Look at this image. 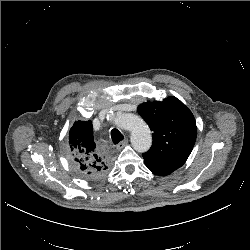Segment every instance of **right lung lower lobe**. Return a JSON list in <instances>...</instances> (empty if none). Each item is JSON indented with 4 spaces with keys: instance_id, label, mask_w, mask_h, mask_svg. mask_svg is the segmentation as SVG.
Masks as SVG:
<instances>
[{
    "instance_id": "1",
    "label": "right lung lower lobe",
    "mask_w": 250,
    "mask_h": 250,
    "mask_svg": "<svg viewBox=\"0 0 250 250\" xmlns=\"http://www.w3.org/2000/svg\"><path fill=\"white\" fill-rule=\"evenodd\" d=\"M73 167L81 178L89 181L99 180L103 178L108 172V167L102 168L100 170L96 169L83 170L75 163H73Z\"/></svg>"
}]
</instances>
